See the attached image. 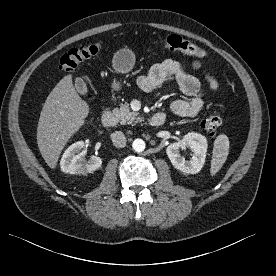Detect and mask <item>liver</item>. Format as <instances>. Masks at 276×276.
<instances>
[{
	"label": "liver",
	"mask_w": 276,
	"mask_h": 276,
	"mask_svg": "<svg viewBox=\"0 0 276 276\" xmlns=\"http://www.w3.org/2000/svg\"><path fill=\"white\" fill-rule=\"evenodd\" d=\"M88 114L89 106L78 95L72 76H65L48 95L37 127L38 148L51 169L57 166L61 151Z\"/></svg>",
	"instance_id": "6515ba94"
}]
</instances>
